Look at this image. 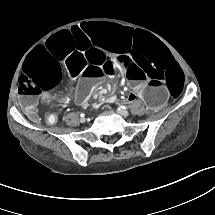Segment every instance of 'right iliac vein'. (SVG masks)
I'll return each mask as SVG.
<instances>
[{
	"mask_svg": "<svg viewBox=\"0 0 215 215\" xmlns=\"http://www.w3.org/2000/svg\"><path fill=\"white\" fill-rule=\"evenodd\" d=\"M81 121H82V122H85V121H86V119H85V118H82V119H81Z\"/></svg>",
	"mask_w": 215,
	"mask_h": 215,
	"instance_id": "1",
	"label": "right iliac vein"
}]
</instances>
